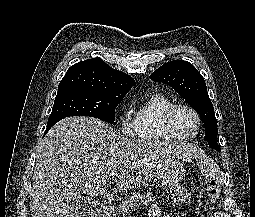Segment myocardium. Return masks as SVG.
I'll return each mask as SVG.
<instances>
[{"instance_id":"1","label":"myocardium","mask_w":255,"mask_h":217,"mask_svg":"<svg viewBox=\"0 0 255 217\" xmlns=\"http://www.w3.org/2000/svg\"><path fill=\"white\" fill-rule=\"evenodd\" d=\"M180 110H187L190 113H192L196 120H197V128L196 131L193 134H185L179 130V128L176 125V115ZM165 123L168 128V130L175 135L177 138L181 139H192L195 138L202 127V118L198 111L194 109L193 107L186 105V104H175L173 105L165 114Z\"/></svg>"}]
</instances>
